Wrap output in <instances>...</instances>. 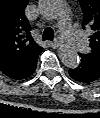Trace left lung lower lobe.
<instances>
[{"instance_id":"0a47b994","label":"left lung lower lobe","mask_w":100,"mask_h":118,"mask_svg":"<svg viewBox=\"0 0 100 118\" xmlns=\"http://www.w3.org/2000/svg\"><path fill=\"white\" fill-rule=\"evenodd\" d=\"M80 64L69 70V75L78 82L89 83L100 78V66L87 61L81 55Z\"/></svg>"}]
</instances>
